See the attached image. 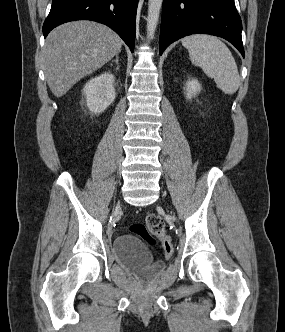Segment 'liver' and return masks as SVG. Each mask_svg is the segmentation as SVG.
<instances>
[{
	"mask_svg": "<svg viewBox=\"0 0 285 332\" xmlns=\"http://www.w3.org/2000/svg\"><path fill=\"white\" fill-rule=\"evenodd\" d=\"M121 38L93 21H72L52 30L43 50L47 84L62 97L79 80L109 62L121 51Z\"/></svg>",
	"mask_w": 285,
	"mask_h": 332,
	"instance_id": "1",
	"label": "liver"
}]
</instances>
